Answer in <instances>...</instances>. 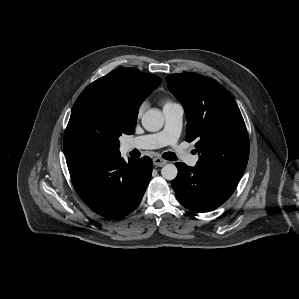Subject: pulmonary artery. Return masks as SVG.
Instances as JSON below:
<instances>
[{"instance_id":"obj_1","label":"pulmonary artery","mask_w":299,"mask_h":299,"mask_svg":"<svg viewBox=\"0 0 299 299\" xmlns=\"http://www.w3.org/2000/svg\"><path fill=\"white\" fill-rule=\"evenodd\" d=\"M165 118L164 128L153 134H147L126 141L123 145L125 151L133 149H156L170 145L174 147L176 155L189 166H195L198 156L192 155L186 150L177 146V141L182 130L184 110L178 103H171L164 106Z\"/></svg>"}]
</instances>
